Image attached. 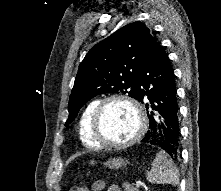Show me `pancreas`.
<instances>
[{"label": "pancreas", "instance_id": "obj_1", "mask_svg": "<svg viewBox=\"0 0 221 191\" xmlns=\"http://www.w3.org/2000/svg\"><path fill=\"white\" fill-rule=\"evenodd\" d=\"M123 188L125 191H139L138 188L132 186L131 184H129L128 182H124L123 183Z\"/></svg>", "mask_w": 221, "mask_h": 191}]
</instances>
